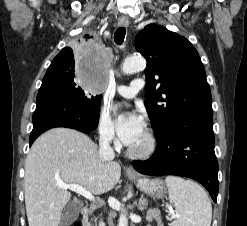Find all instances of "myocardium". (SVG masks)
<instances>
[{"label":"myocardium","mask_w":247,"mask_h":226,"mask_svg":"<svg viewBox=\"0 0 247 226\" xmlns=\"http://www.w3.org/2000/svg\"><path fill=\"white\" fill-rule=\"evenodd\" d=\"M147 143L141 150H134L130 147L127 148V154L133 159H148L154 155L158 147V140L155 133L150 129H146Z\"/></svg>","instance_id":"obj_1"}]
</instances>
